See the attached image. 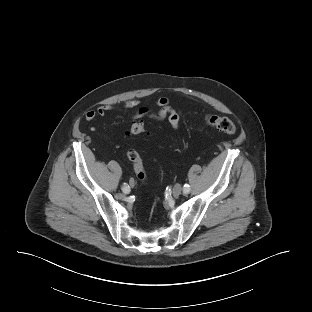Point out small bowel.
<instances>
[{
	"mask_svg": "<svg viewBox=\"0 0 312 312\" xmlns=\"http://www.w3.org/2000/svg\"><path fill=\"white\" fill-rule=\"evenodd\" d=\"M158 110H153L148 106H143L133 115V118L149 117L154 120H165L167 119L173 128H178L181 121V113L179 110L173 108L169 99L166 97H160L155 102ZM139 105V101L135 99L126 100L123 103L125 109L136 108ZM112 105H101L95 110H89L85 114V119L89 122L95 120L97 117H103L108 112L113 111Z\"/></svg>",
	"mask_w": 312,
	"mask_h": 312,
	"instance_id": "1",
	"label": "small bowel"
}]
</instances>
